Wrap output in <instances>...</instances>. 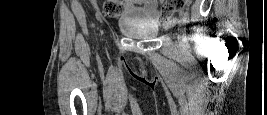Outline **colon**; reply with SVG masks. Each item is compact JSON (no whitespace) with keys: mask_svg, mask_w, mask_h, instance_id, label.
Returning a JSON list of instances; mask_svg holds the SVG:
<instances>
[{"mask_svg":"<svg viewBox=\"0 0 267 115\" xmlns=\"http://www.w3.org/2000/svg\"><path fill=\"white\" fill-rule=\"evenodd\" d=\"M189 2L190 0H166L160 9L161 19L164 21L170 20ZM123 8V0H107L103 5V14L108 17H117L123 12Z\"/></svg>","mask_w":267,"mask_h":115,"instance_id":"5ec220e1","label":"colon"}]
</instances>
